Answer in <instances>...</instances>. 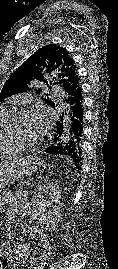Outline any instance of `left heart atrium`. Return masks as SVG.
Returning <instances> with one entry per match:
<instances>
[{
    "label": "left heart atrium",
    "instance_id": "1",
    "mask_svg": "<svg viewBox=\"0 0 118 269\" xmlns=\"http://www.w3.org/2000/svg\"><path fill=\"white\" fill-rule=\"evenodd\" d=\"M31 115L36 122L39 131L43 133L46 130L48 124L45 110L41 107H37L31 112Z\"/></svg>",
    "mask_w": 118,
    "mask_h": 269
}]
</instances>
